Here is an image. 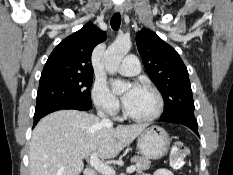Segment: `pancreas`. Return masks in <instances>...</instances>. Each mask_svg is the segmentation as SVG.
Here are the masks:
<instances>
[{"instance_id": "1", "label": "pancreas", "mask_w": 233, "mask_h": 175, "mask_svg": "<svg viewBox=\"0 0 233 175\" xmlns=\"http://www.w3.org/2000/svg\"><path fill=\"white\" fill-rule=\"evenodd\" d=\"M131 161L137 163L138 171L147 170L150 168L151 161L146 157L134 156L131 158Z\"/></svg>"}]
</instances>
